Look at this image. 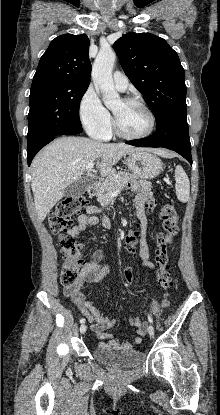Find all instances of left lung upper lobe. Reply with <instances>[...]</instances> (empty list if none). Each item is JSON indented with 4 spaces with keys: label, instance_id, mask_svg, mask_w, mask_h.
<instances>
[{
    "label": "left lung upper lobe",
    "instance_id": "obj_1",
    "mask_svg": "<svg viewBox=\"0 0 220 415\" xmlns=\"http://www.w3.org/2000/svg\"><path fill=\"white\" fill-rule=\"evenodd\" d=\"M121 66L142 93L156 122L187 107L185 72L168 43L149 33H127L114 43Z\"/></svg>",
    "mask_w": 220,
    "mask_h": 415
}]
</instances>
